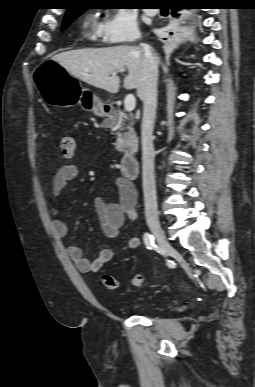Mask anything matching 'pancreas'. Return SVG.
Listing matches in <instances>:
<instances>
[{
	"label": "pancreas",
	"mask_w": 255,
	"mask_h": 387,
	"mask_svg": "<svg viewBox=\"0 0 255 387\" xmlns=\"http://www.w3.org/2000/svg\"><path fill=\"white\" fill-rule=\"evenodd\" d=\"M127 123V124H126ZM106 126L113 128V130H119L126 132L118 133V138L115 143V149L119 152H124L126 155L134 154L138 150V139L134 132V121L129 117H119L118 120L109 118L104 121Z\"/></svg>",
	"instance_id": "1"
}]
</instances>
